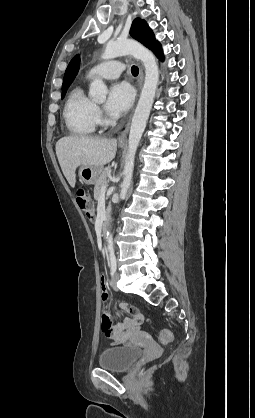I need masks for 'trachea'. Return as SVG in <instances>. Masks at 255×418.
Segmentation results:
<instances>
[{
    "instance_id": "obj_1",
    "label": "trachea",
    "mask_w": 255,
    "mask_h": 418,
    "mask_svg": "<svg viewBox=\"0 0 255 418\" xmlns=\"http://www.w3.org/2000/svg\"><path fill=\"white\" fill-rule=\"evenodd\" d=\"M131 72H132L133 75H138V73H139L138 67L137 66H132L131 67Z\"/></svg>"
}]
</instances>
